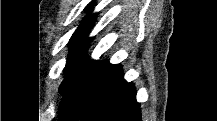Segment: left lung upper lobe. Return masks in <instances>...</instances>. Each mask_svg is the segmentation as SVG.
Wrapping results in <instances>:
<instances>
[{
	"instance_id": "1",
	"label": "left lung upper lobe",
	"mask_w": 217,
	"mask_h": 121,
	"mask_svg": "<svg viewBox=\"0 0 217 121\" xmlns=\"http://www.w3.org/2000/svg\"><path fill=\"white\" fill-rule=\"evenodd\" d=\"M90 5L91 3L87 7ZM96 15L97 13L84 18L70 39L71 51L64 68L65 79L59 88L60 94L64 96L59 107L60 120H73L86 91L107 63V61L99 62L86 56L89 44L93 40V38H88V32L94 25Z\"/></svg>"
}]
</instances>
